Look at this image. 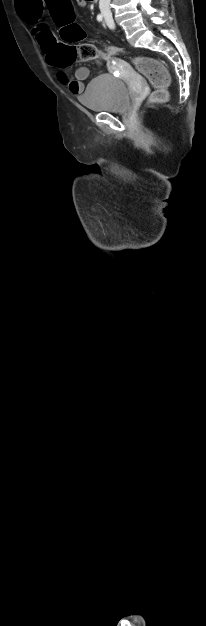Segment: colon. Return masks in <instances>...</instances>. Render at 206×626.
Returning <instances> with one entry per match:
<instances>
[{
  "instance_id": "colon-1",
  "label": "colon",
  "mask_w": 206,
  "mask_h": 626,
  "mask_svg": "<svg viewBox=\"0 0 206 626\" xmlns=\"http://www.w3.org/2000/svg\"><path fill=\"white\" fill-rule=\"evenodd\" d=\"M51 9L55 23L60 27V35L65 41L58 44L54 53V64L68 66L77 61H96L106 55H118L122 51L115 47L99 48L89 42L73 44L85 37L84 30L75 23V13L71 0H46ZM137 70L145 76L154 87L149 102L163 103L167 99L169 75L164 65L156 59L136 57L133 59Z\"/></svg>"
}]
</instances>
